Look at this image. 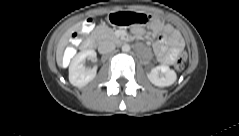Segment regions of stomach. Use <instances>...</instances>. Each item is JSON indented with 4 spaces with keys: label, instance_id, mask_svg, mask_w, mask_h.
<instances>
[{
    "label": "stomach",
    "instance_id": "stomach-1",
    "mask_svg": "<svg viewBox=\"0 0 239 136\" xmlns=\"http://www.w3.org/2000/svg\"><path fill=\"white\" fill-rule=\"evenodd\" d=\"M109 22L122 29L135 30L139 24H151L153 22V15L114 10L109 13Z\"/></svg>",
    "mask_w": 239,
    "mask_h": 136
}]
</instances>
